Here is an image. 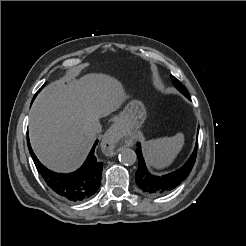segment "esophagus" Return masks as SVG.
I'll return each mask as SVG.
<instances>
[{
  "mask_svg": "<svg viewBox=\"0 0 246 246\" xmlns=\"http://www.w3.org/2000/svg\"><path fill=\"white\" fill-rule=\"evenodd\" d=\"M120 134L121 131L117 124L112 125L104 134V137L101 142V147H102V151L106 155L112 156L116 154L114 150L118 145Z\"/></svg>",
  "mask_w": 246,
  "mask_h": 246,
  "instance_id": "1",
  "label": "esophagus"
}]
</instances>
